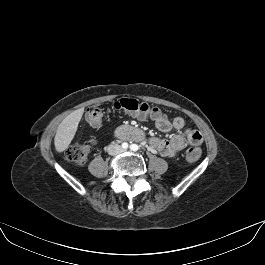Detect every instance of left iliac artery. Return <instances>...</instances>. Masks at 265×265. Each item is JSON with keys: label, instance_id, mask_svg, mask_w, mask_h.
Returning <instances> with one entry per match:
<instances>
[{"label": "left iliac artery", "instance_id": "obj_1", "mask_svg": "<svg viewBox=\"0 0 265 265\" xmlns=\"http://www.w3.org/2000/svg\"><path fill=\"white\" fill-rule=\"evenodd\" d=\"M130 149L133 151H137L139 149V146L136 144H132V145H130Z\"/></svg>", "mask_w": 265, "mask_h": 265}]
</instances>
